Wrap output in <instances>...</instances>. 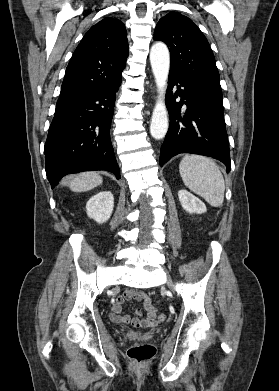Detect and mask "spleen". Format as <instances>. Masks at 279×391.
<instances>
[{
	"label": "spleen",
	"mask_w": 279,
	"mask_h": 391,
	"mask_svg": "<svg viewBox=\"0 0 279 391\" xmlns=\"http://www.w3.org/2000/svg\"><path fill=\"white\" fill-rule=\"evenodd\" d=\"M179 172L184 184L203 197L211 206L220 207L224 200L225 182L219 167L209 158L186 155Z\"/></svg>",
	"instance_id": "obj_1"
}]
</instances>
